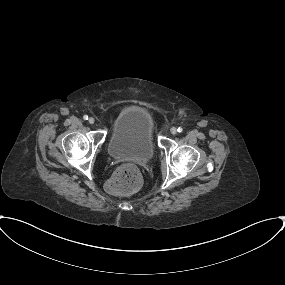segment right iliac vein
<instances>
[{
  "mask_svg": "<svg viewBox=\"0 0 285 285\" xmlns=\"http://www.w3.org/2000/svg\"><path fill=\"white\" fill-rule=\"evenodd\" d=\"M88 122H89L90 124H94V123H95V119H94L93 117H90L89 120H88Z\"/></svg>",
  "mask_w": 285,
  "mask_h": 285,
  "instance_id": "right-iliac-vein-1",
  "label": "right iliac vein"
}]
</instances>
